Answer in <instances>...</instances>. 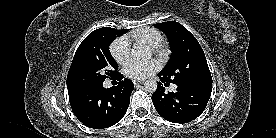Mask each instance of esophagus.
<instances>
[{
	"mask_svg": "<svg viewBox=\"0 0 276 138\" xmlns=\"http://www.w3.org/2000/svg\"><path fill=\"white\" fill-rule=\"evenodd\" d=\"M133 83H134L135 86H137V85H139V84H141L143 82L140 81V80H133Z\"/></svg>",
	"mask_w": 276,
	"mask_h": 138,
	"instance_id": "esophagus-1",
	"label": "esophagus"
}]
</instances>
